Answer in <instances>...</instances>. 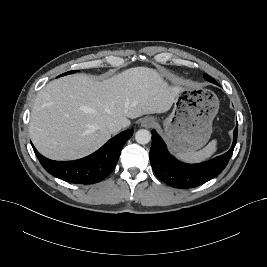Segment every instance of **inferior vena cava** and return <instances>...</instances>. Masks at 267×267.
<instances>
[{
  "instance_id": "1",
  "label": "inferior vena cava",
  "mask_w": 267,
  "mask_h": 267,
  "mask_svg": "<svg viewBox=\"0 0 267 267\" xmlns=\"http://www.w3.org/2000/svg\"><path fill=\"white\" fill-rule=\"evenodd\" d=\"M123 127L124 126L121 122L114 121L108 124L107 129L111 134H115L118 133Z\"/></svg>"
}]
</instances>
